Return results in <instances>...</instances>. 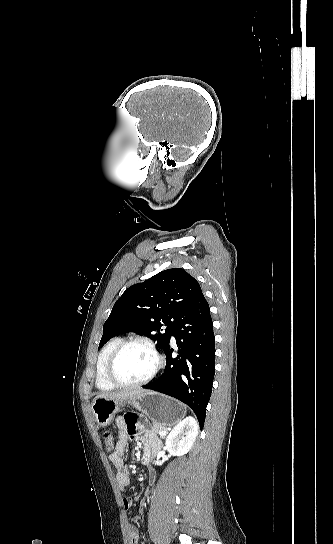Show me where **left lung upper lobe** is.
Returning <instances> with one entry per match:
<instances>
[{
    "label": "left lung upper lobe",
    "mask_w": 333,
    "mask_h": 544,
    "mask_svg": "<svg viewBox=\"0 0 333 544\" xmlns=\"http://www.w3.org/2000/svg\"><path fill=\"white\" fill-rule=\"evenodd\" d=\"M202 294L197 280L182 268L161 271L130 286L104 323L99 348L115 335L132 331L150 337L164 351L176 324Z\"/></svg>",
    "instance_id": "5c2ea615"
}]
</instances>
